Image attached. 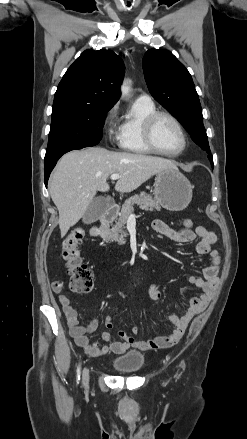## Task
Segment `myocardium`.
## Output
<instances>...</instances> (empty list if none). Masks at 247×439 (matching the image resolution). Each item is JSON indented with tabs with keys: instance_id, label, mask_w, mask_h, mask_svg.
Returning a JSON list of instances; mask_svg holds the SVG:
<instances>
[{
	"instance_id": "f54148a6",
	"label": "myocardium",
	"mask_w": 247,
	"mask_h": 439,
	"mask_svg": "<svg viewBox=\"0 0 247 439\" xmlns=\"http://www.w3.org/2000/svg\"><path fill=\"white\" fill-rule=\"evenodd\" d=\"M160 117H167L169 118L178 128L181 138H182V144L181 147L174 152H165L160 150L154 143L153 140V129L156 121ZM143 140L146 144V146L150 149L151 152H154L156 154L166 156V157H176L182 154L186 147H187V134L186 131L182 125V123L179 121L177 117H175L173 114L166 112V111H155L154 113L150 114L144 121L143 124Z\"/></svg>"
}]
</instances>
